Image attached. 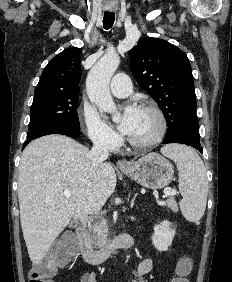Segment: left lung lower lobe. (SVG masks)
Instances as JSON below:
<instances>
[{
	"instance_id": "left-lung-lower-lobe-1",
	"label": "left lung lower lobe",
	"mask_w": 232,
	"mask_h": 282,
	"mask_svg": "<svg viewBox=\"0 0 232 282\" xmlns=\"http://www.w3.org/2000/svg\"><path fill=\"white\" fill-rule=\"evenodd\" d=\"M167 135L163 140V144L168 143H182L192 146L199 150L201 153L202 147L200 146V136L199 130L194 127H177L173 125H168Z\"/></svg>"
}]
</instances>
